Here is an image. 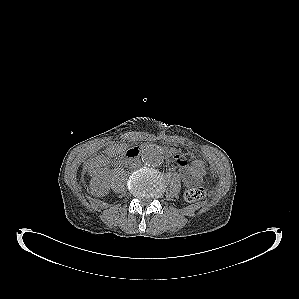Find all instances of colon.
I'll return each mask as SVG.
<instances>
[{"label": "colon", "instance_id": "obj_1", "mask_svg": "<svg viewBox=\"0 0 299 299\" xmlns=\"http://www.w3.org/2000/svg\"><path fill=\"white\" fill-rule=\"evenodd\" d=\"M190 170L197 183L200 182L207 174L205 165L196 158H192L190 160ZM205 195L206 191L203 187H192L185 192V199L188 202L193 203L202 200Z\"/></svg>", "mask_w": 299, "mask_h": 299}]
</instances>
